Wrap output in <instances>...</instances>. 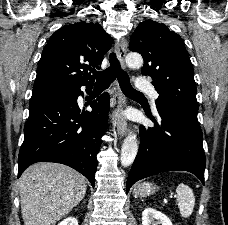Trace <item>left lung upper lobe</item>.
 <instances>
[{"label":"left lung upper lobe","mask_w":228,"mask_h":225,"mask_svg":"<svg viewBox=\"0 0 228 225\" xmlns=\"http://www.w3.org/2000/svg\"><path fill=\"white\" fill-rule=\"evenodd\" d=\"M131 51L144 59L143 75L152 77L156 103H177L198 109L194 70L183 39L164 24L141 22L130 37Z\"/></svg>","instance_id":"obj_1"}]
</instances>
